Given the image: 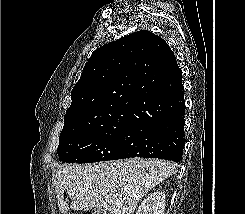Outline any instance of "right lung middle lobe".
<instances>
[{
	"mask_svg": "<svg viewBox=\"0 0 245 214\" xmlns=\"http://www.w3.org/2000/svg\"><path fill=\"white\" fill-rule=\"evenodd\" d=\"M130 127L129 120L86 128L64 121L57 151L59 159L63 163L115 160Z\"/></svg>",
	"mask_w": 245,
	"mask_h": 214,
	"instance_id": "dd1d6c3e",
	"label": "right lung middle lobe"
}]
</instances>
